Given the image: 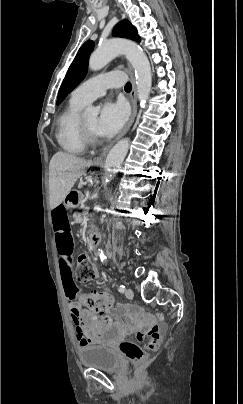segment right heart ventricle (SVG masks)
I'll list each match as a JSON object with an SVG mask.
<instances>
[{"instance_id":"right-heart-ventricle-1","label":"right heart ventricle","mask_w":243,"mask_h":404,"mask_svg":"<svg viewBox=\"0 0 243 404\" xmlns=\"http://www.w3.org/2000/svg\"><path fill=\"white\" fill-rule=\"evenodd\" d=\"M103 45L100 43L97 51ZM86 105V102L79 97L75 89L71 93L68 104L57 117L54 133L55 141L59 149L68 155L80 156L88 150V143L83 139L78 130L80 111Z\"/></svg>"}]
</instances>
